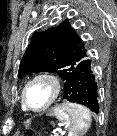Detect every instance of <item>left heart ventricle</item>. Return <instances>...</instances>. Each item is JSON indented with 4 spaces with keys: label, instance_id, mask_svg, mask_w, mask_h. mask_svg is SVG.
<instances>
[{
    "label": "left heart ventricle",
    "instance_id": "left-heart-ventricle-1",
    "mask_svg": "<svg viewBox=\"0 0 117 136\" xmlns=\"http://www.w3.org/2000/svg\"><path fill=\"white\" fill-rule=\"evenodd\" d=\"M51 96V88L45 81H37L31 84L27 90L26 99L33 109H40L46 105Z\"/></svg>",
    "mask_w": 117,
    "mask_h": 136
}]
</instances>
